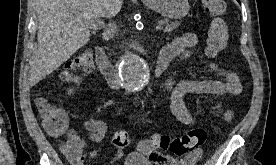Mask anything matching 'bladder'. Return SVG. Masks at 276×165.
<instances>
[{
  "label": "bladder",
  "instance_id": "31cf9c89",
  "mask_svg": "<svg viewBox=\"0 0 276 165\" xmlns=\"http://www.w3.org/2000/svg\"><path fill=\"white\" fill-rule=\"evenodd\" d=\"M124 165H152V163L142 155L134 154L126 160Z\"/></svg>",
  "mask_w": 276,
  "mask_h": 165
}]
</instances>
